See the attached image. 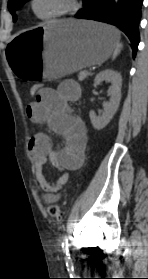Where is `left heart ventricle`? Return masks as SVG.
Returning a JSON list of instances; mask_svg holds the SVG:
<instances>
[{
    "label": "left heart ventricle",
    "mask_w": 148,
    "mask_h": 279,
    "mask_svg": "<svg viewBox=\"0 0 148 279\" xmlns=\"http://www.w3.org/2000/svg\"><path fill=\"white\" fill-rule=\"evenodd\" d=\"M67 6V0H36L35 9L40 15L59 11Z\"/></svg>",
    "instance_id": "left-heart-ventricle-1"
}]
</instances>
